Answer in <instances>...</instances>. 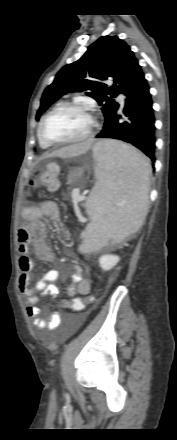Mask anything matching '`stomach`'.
Listing matches in <instances>:
<instances>
[{"label":"stomach","mask_w":177,"mask_h":440,"mask_svg":"<svg viewBox=\"0 0 177 440\" xmlns=\"http://www.w3.org/2000/svg\"><path fill=\"white\" fill-rule=\"evenodd\" d=\"M96 146V145H95ZM95 146L93 147V150L95 148ZM84 168L83 167H77L73 170V172L69 175L68 177V181L71 182L73 180V177H80L84 174Z\"/></svg>","instance_id":"obj_1"}]
</instances>
